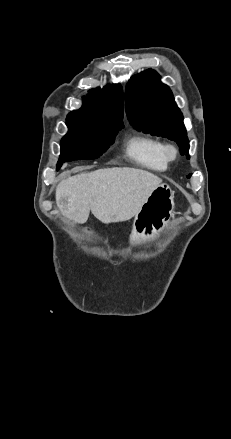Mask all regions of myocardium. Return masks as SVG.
I'll use <instances>...</instances> for the list:
<instances>
[{"label":"myocardium","instance_id":"f54148a6","mask_svg":"<svg viewBox=\"0 0 231 439\" xmlns=\"http://www.w3.org/2000/svg\"><path fill=\"white\" fill-rule=\"evenodd\" d=\"M164 154L168 161H174L178 156V149L174 144H164Z\"/></svg>","mask_w":231,"mask_h":439}]
</instances>
